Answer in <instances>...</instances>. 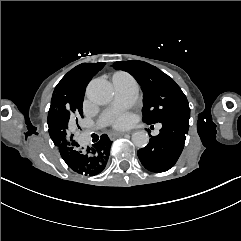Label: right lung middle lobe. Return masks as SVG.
<instances>
[{
  "label": "right lung middle lobe",
  "instance_id": "right-lung-middle-lobe-1",
  "mask_svg": "<svg viewBox=\"0 0 241 241\" xmlns=\"http://www.w3.org/2000/svg\"><path fill=\"white\" fill-rule=\"evenodd\" d=\"M105 63H83L69 71L55 87L48 116L60 121L66 128L70 142L74 141L70 128L82 117L85 89Z\"/></svg>",
  "mask_w": 241,
  "mask_h": 241
}]
</instances>
